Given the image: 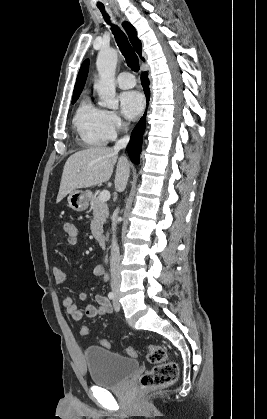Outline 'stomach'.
<instances>
[{
    "instance_id": "stomach-1",
    "label": "stomach",
    "mask_w": 267,
    "mask_h": 419,
    "mask_svg": "<svg viewBox=\"0 0 267 419\" xmlns=\"http://www.w3.org/2000/svg\"><path fill=\"white\" fill-rule=\"evenodd\" d=\"M69 207L74 211L81 212L87 209L91 200L90 191L73 190L68 198Z\"/></svg>"
}]
</instances>
